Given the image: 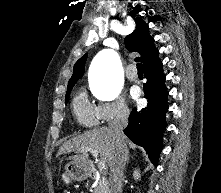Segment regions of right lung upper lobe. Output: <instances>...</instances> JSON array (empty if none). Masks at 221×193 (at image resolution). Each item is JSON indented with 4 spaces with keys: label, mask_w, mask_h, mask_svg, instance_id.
<instances>
[{
    "label": "right lung upper lobe",
    "mask_w": 221,
    "mask_h": 193,
    "mask_svg": "<svg viewBox=\"0 0 221 193\" xmlns=\"http://www.w3.org/2000/svg\"><path fill=\"white\" fill-rule=\"evenodd\" d=\"M136 29L125 38V45L129 51H136L141 54L136 58L143 63L144 69L152 67L160 62L158 49L154 46V39L149 34L148 25L141 18H136ZM87 54L81 57L74 65L73 75L69 80V85H74L82 77L85 71V61Z\"/></svg>",
    "instance_id": "1"
}]
</instances>
